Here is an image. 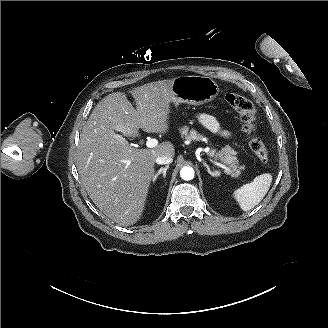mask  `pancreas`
Masks as SVG:
<instances>
[{
    "instance_id": "cf45deb5",
    "label": "pancreas",
    "mask_w": 328,
    "mask_h": 328,
    "mask_svg": "<svg viewBox=\"0 0 328 328\" xmlns=\"http://www.w3.org/2000/svg\"><path fill=\"white\" fill-rule=\"evenodd\" d=\"M187 133H188V129H184L182 132V134L184 135H186ZM187 138L192 141H199L202 138V136L197 134V132L195 131H190V135ZM236 154L237 152L231 146H226L222 149V151L218 155L219 157H222L223 155L225 156L223 158V161L225 164L230 165V167L233 169L232 171L233 176H237L240 173L239 170H237V166L234 164V162L237 161V157L235 156ZM209 155L214 156V151H211Z\"/></svg>"
}]
</instances>
